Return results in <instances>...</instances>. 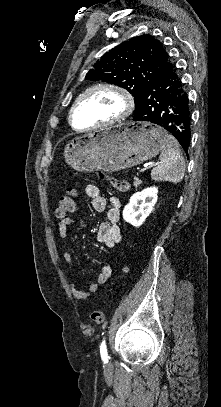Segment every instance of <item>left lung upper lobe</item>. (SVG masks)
<instances>
[{"label":"left lung upper lobe","instance_id":"obj_1","mask_svg":"<svg viewBox=\"0 0 221 407\" xmlns=\"http://www.w3.org/2000/svg\"><path fill=\"white\" fill-rule=\"evenodd\" d=\"M163 44L151 35L133 37L105 53L86 74L89 80H102L128 90L135 107L142 90L169 65Z\"/></svg>","mask_w":221,"mask_h":407}]
</instances>
